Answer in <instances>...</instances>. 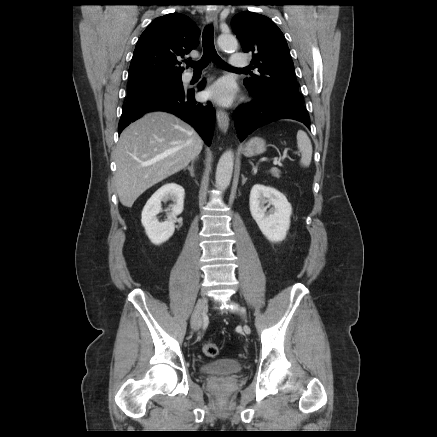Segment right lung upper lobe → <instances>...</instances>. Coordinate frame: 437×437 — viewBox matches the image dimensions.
I'll use <instances>...</instances> for the list:
<instances>
[{"label":"right lung upper lobe","instance_id":"1","mask_svg":"<svg viewBox=\"0 0 437 437\" xmlns=\"http://www.w3.org/2000/svg\"><path fill=\"white\" fill-rule=\"evenodd\" d=\"M200 30L186 15L154 19L141 34L129 67V78L181 76L180 60L199 44Z\"/></svg>","mask_w":437,"mask_h":437}]
</instances>
